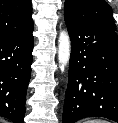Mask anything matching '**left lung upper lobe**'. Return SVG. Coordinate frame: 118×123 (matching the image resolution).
I'll use <instances>...</instances> for the list:
<instances>
[{"mask_svg":"<svg viewBox=\"0 0 118 123\" xmlns=\"http://www.w3.org/2000/svg\"><path fill=\"white\" fill-rule=\"evenodd\" d=\"M64 15L77 23L115 30L112 9L105 0H66Z\"/></svg>","mask_w":118,"mask_h":123,"instance_id":"left-lung-upper-lobe-1","label":"left lung upper lobe"}]
</instances>
